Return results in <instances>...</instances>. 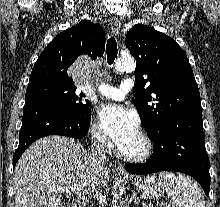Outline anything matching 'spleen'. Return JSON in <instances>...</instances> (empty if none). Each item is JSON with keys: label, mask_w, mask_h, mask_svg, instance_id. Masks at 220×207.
I'll return each instance as SVG.
<instances>
[{"label": "spleen", "mask_w": 220, "mask_h": 207, "mask_svg": "<svg viewBox=\"0 0 220 207\" xmlns=\"http://www.w3.org/2000/svg\"><path fill=\"white\" fill-rule=\"evenodd\" d=\"M159 179L164 182V188L171 198L172 207H205L201 188L191 178L161 172Z\"/></svg>", "instance_id": "3e777b00"}]
</instances>
